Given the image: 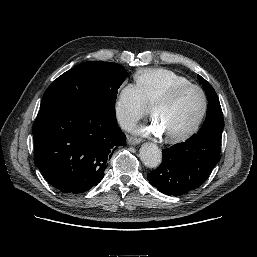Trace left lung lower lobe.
<instances>
[{
    "label": "left lung lower lobe",
    "mask_w": 257,
    "mask_h": 257,
    "mask_svg": "<svg viewBox=\"0 0 257 257\" xmlns=\"http://www.w3.org/2000/svg\"><path fill=\"white\" fill-rule=\"evenodd\" d=\"M221 139L202 137L162 150V163L148 173L154 187L166 195L181 196L200 187L220 160Z\"/></svg>",
    "instance_id": "left-lung-lower-lobe-1"
}]
</instances>
